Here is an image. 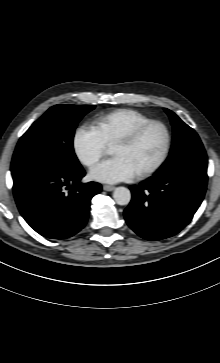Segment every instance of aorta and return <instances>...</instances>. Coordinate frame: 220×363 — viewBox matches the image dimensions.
Here are the masks:
<instances>
[{
  "mask_svg": "<svg viewBox=\"0 0 220 363\" xmlns=\"http://www.w3.org/2000/svg\"><path fill=\"white\" fill-rule=\"evenodd\" d=\"M113 198L118 205H127L131 200V192L126 187H117L113 192Z\"/></svg>",
  "mask_w": 220,
  "mask_h": 363,
  "instance_id": "762f6f07",
  "label": "aorta"
}]
</instances>
